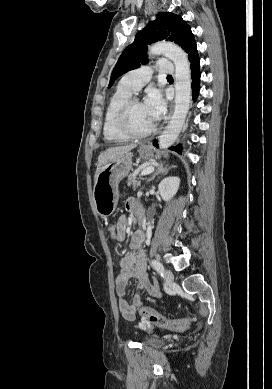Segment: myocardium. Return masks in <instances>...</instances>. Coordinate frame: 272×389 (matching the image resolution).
Wrapping results in <instances>:
<instances>
[{"instance_id": "myocardium-1", "label": "myocardium", "mask_w": 272, "mask_h": 389, "mask_svg": "<svg viewBox=\"0 0 272 389\" xmlns=\"http://www.w3.org/2000/svg\"><path fill=\"white\" fill-rule=\"evenodd\" d=\"M141 103L138 97L129 98L121 107L117 116L118 129L130 139H143L152 135L156 131L155 124L144 132H136L133 130L130 121V114L134 104Z\"/></svg>"}]
</instances>
